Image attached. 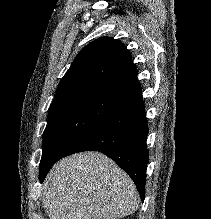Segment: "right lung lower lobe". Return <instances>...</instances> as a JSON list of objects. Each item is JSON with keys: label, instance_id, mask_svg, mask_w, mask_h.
Here are the masks:
<instances>
[{"label": "right lung lower lobe", "instance_id": "98d812e1", "mask_svg": "<svg viewBox=\"0 0 211 219\" xmlns=\"http://www.w3.org/2000/svg\"><path fill=\"white\" fill-rule=\"evenodd\" d=\"M147 134L148 124L141 93L97 122L62 157L81 151L104 153L129 174L143 201L149 161Z\"/></svg>", "mask_w": 211, "mask_h": 219}]
</instances>
